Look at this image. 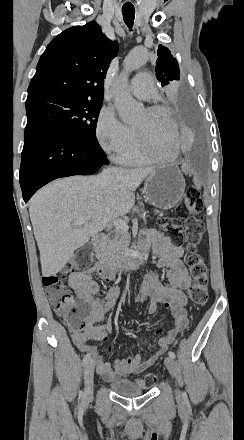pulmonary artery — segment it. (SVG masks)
<instances>
[{
	"label": "pulmonary artery",
	"mask_w": 244,
	"mask_h": 440,
	"mask_svg": "<svg viewBox=\"0 0 244 440\" xmlns=\"http://www.w3.org/2000/svg\"><path fill=\"white\" fill-rule=\"evenodd\" d=\"M132 93L141 100L155 99L156 92L154 83L151 82V76L148 69H139L138 75L132 76Z\"/></svg>",
	"instance_id": "1"
}]
</instances>
